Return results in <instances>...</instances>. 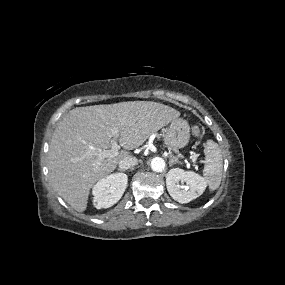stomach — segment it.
I'll return each instance as SVG.
<instances>
[{"label":"stomach","mask_w":285,"mask_h":285,"mask_svg":"<svg viewBox=\"0 0 285 285\" xmlns=\"http://www.w3.org/2000/svg\"><path fill=\"white\" fill-rule=\"evenodd\" d=\"M190 139V126L181 118L173 119L165 131L164 143L172 149L185 147Z\"/></svg>","instance_id":"1"}]
</instances>
